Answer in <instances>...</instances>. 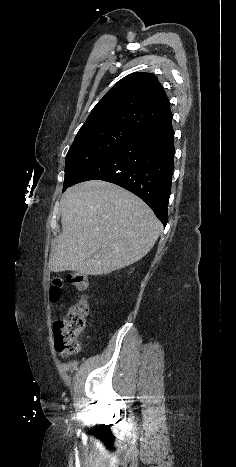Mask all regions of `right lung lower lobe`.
<instances>
[{
    "instance_id": "1",
    "label": "right lung lower lobe",
    "mask_w": 236,
    "mask_h": 467,
    "mask_svg": "<svg viewBox=\"0 0 236 467\" xmlns=\"http://www.w3.org/2000/svg\"><path fill=\"white\" fill-rule=\"evenodd\" d=\"M173 169L171 115L124 141L87 168L69 186L87 180L117 184L139 196L165 226Z\"/></svg>"
}]
</instances>
